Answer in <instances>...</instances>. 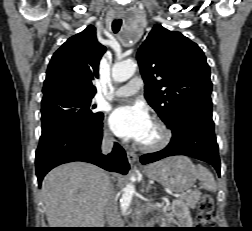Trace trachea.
Returning <instances> with one entry per match:
<instances>
[{"label": "trachea", "mask_w": 252, "mask_h": 231, "mask_svg": "<svg viewBox=\"0 0 252 231\" xmlns=\"http://www.w3.org/2000/svg\"><path fill=\"white\" fill-rule=\"evenodd\" d=\"M122 25V20L121 19H116L112 23V30L114 33H118Z\"/></svg>", "instance_id": "3493384b"}]
</instances>
